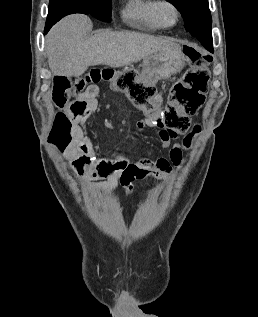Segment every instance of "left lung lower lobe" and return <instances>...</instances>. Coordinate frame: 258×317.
Instances as JSON below:
<instances>
[{
	"label": "left lung lower lobe",
	"mask_w": 258,
	"mask_h": 317,
	"mask_svg": "<svg viewBox=\"0 0 258 317\" xmlns=\"http://www.w3.org/2000/svg\"><path fill=\"white\" fill-rule=\"evenodd\" d=\"M193 37H196L208 51L213 52L211 32H199L194 34Z\"/></svg>",
	"instance_id": "1"
}]
</instances>
